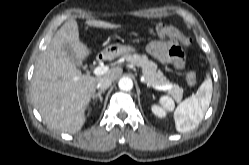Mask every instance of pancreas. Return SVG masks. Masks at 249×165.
Listing matches in <instances>:
<instances>
[{"label": "pancreas", "mask_w": 249, "mask_h": 165, "mask_svg": "<svg viewBox=\"0 0 249 165\" xmlns=\"http://www.w3.org/2000/svg\"><path fill=\"white\" fill-rule=\"evenodd\" d=\"M125 59L131 64L138 66L142 69L144 81L149 86L153 85H172V88L167 90L177 102H180L183 97V89L176 84H171L160 70H157V65L148 60L146 55L125 54Z\"/></svg>", "instance_id": "cf45deb5"}]
</instances>
